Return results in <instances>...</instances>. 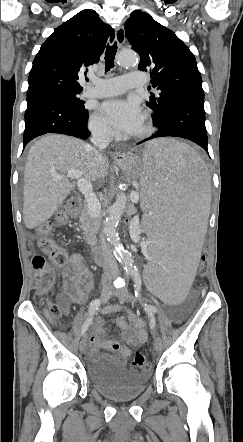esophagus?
Masks as SVG:
<instances>
[{"mask_svg": "<svg viewBox=\"0 0 243 442\" xmlns=\"http://www.w3.org/2000/svg\"><path fill=\"white\" fill-rule=\"evenodd\" d=\"M115 40L117 44L121 47L125 41V34L123 26H119L115 31ZM114 159L117 162H124L127 159V154L122 152H115Z\"/></svg>", "mask_w": 243, "mask_h": 442, "instance_id": "34e87169", "label": "esophagus"}]
</instances>
